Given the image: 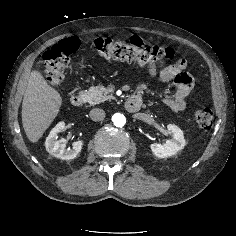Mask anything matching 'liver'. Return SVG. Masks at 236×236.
<instances>
[{
    "label": "liver",
    "instance_id": "6515ba94",
    "mask_svg": "<svg viewBox=\"0 0 236 236\" xmlns=\"http://www.w3.org/2000/svg\"><path fill=\"white\" fill-rule=\"evenodd\" d=\"M62 98L43 75L32 71L22 102V123L26 136L35 143L60 111Z\"/></svg>",
    "mask_w": 236,
    "mask_h": 236
}]
</instances>
